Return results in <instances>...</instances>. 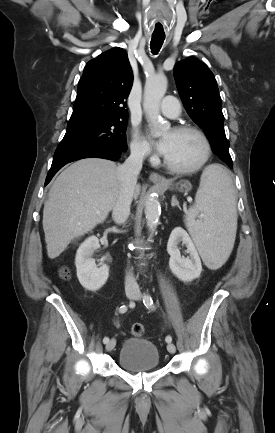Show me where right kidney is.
Masks as SVG:
<instances>
[{
    "mask_svg": "<svg viewBox=\"0 0 275 433\" xmlns=\"http://www.w3.org/2000/svg\"><path fill=\"white\" fill-rule=\"evenodd\" d=\"M100 247L96 236L87 238L78 248L75 258L77 277L80 284L87 290L96 291L107 281L109 267L102 265L97 267L92 258L93 253Z\"/></svg>",
    "mask_w": 275,
    "mask_h": 433,
    "instance_id": "ca27d5eb",
    "label": "right kidney"
}]
</instances>
